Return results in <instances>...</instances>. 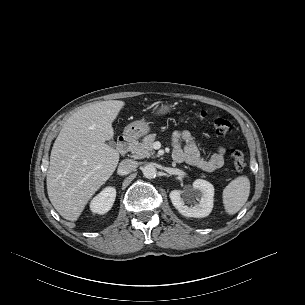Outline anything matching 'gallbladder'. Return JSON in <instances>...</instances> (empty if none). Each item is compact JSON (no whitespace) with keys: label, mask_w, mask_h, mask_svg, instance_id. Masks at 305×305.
I'll return each instance as SVG.
<instances>
[{"label":"gallbladder","mask_w":305,"mask_h":305,"mask_svg":"<svg viewBox=\"0 0 305 305\" xmlns=\"http://www.w3.org/2000/svg\"><path fill=\"white\" fill-rule=\"evenodd\" d=\"M108 144H109V146H111V147H115V145H116L115 141H112V140H109V141H108Z\"/></svg>","instance_id":"1"}]
</instances>
